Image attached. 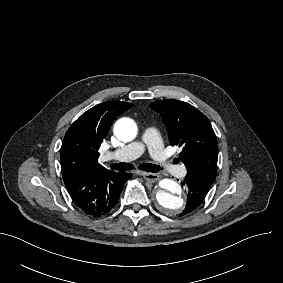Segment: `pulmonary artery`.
I'll list each match as a JSON object with an SVG mask.
<instances>
[{
	"label": "pulmonary artery",
	"instance_id": "pulmonary-artery-1",
	"mask_svg": "<svg viewBox=\"0 0 283 283\" xmlns=\"http://www.w3.org/2000/svg\"><path fill=\"white\" fill-rule=\"evenodd\" d=\"M161 129L158 126L143 128L141 139L139 142L127 145L124 151H106L103 154V159L106 162H126L140 158L148 146L152 161L155 165L165 172H172L175 169V162L166 157L164 151L165 146L161 142ZM188 174V169L181 165L177 169V175L185 177Z\"/></svg>",
	"mask_w": 283,
	"mask_h": 283
}]
</instances>
